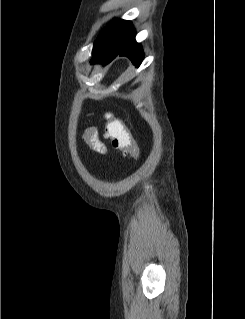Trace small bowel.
Returning <instances> with one entry per match:
<instances>
[{"instance_id":"obj_1","label":"small bowel","mask_w":245,"mask_h":319,"mask_svg":"<svg viewBox=\"0 0 245 319\" xmlns=\"http://www.w3.org/2000/svg\"><path fill=\"white\" fill-rule=\"evenodd\" d=\"M85 140L93 151L99 154H105L107 152V149L104 143L100 140L98 131L95 128L86 130Z\"/></svg>"}]
</instances>
